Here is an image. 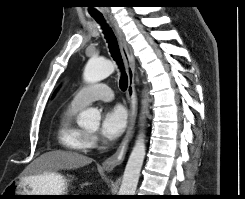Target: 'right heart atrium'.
Here are the masks:
<instances>
[{
    "label": "right heart atrium",
    "instance_id": "d8ad5b80",
    "mask_svg": "<svg viewBox=\"0 0 245 199\" xmlns=\"http://www.w3.org/2000/svg\"><path fill=\"white\" fill-rule=\"evenodd\" d=\"M89 141L91 146L95 145L97 143V138L94 135H89Z\"/></svg>",
    "mask_w": 245,
    "mask_h": 199
}]
</instances>
